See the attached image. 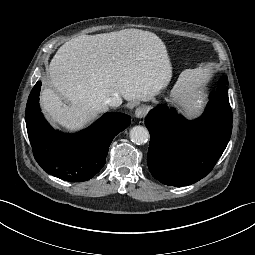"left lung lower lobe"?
<instances>
[{
	"mask_svg": "<svg viewBox=\"0 0 255 255\" xmlns=\"http://www.w3.org/2000/svg\"><path fill=\"white\" fill-rule=\"evenodd\" d=\"M227 84V76L221 77L204 114L196 120L188 121L165 106L148 113L147 162L158 181L169 186L190 185L213 169L232 132Z\"/></svg>",
	"mask_w": 255,
	"mask_h": 255,
	"instance_id": "obj_1",
	"label": "left lung lower lobe"
}]
</instances>
